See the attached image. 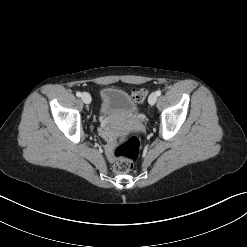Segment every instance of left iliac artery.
Here are the masks:
<instances>
[{
  "instance_id": "44dca946",
  "label": "left iliac artery",
  "mask_w": 247,
  "mask_h": 247,
  "mask_svg": "<svg viewBox=\"0 0 247 247\" xmlns=\"http://www.w3.org/2000/svg\"><path fill=\"white\" fill-rule=\"evenodd\" d=\"M156 95H157V96H160V95H161V90H157V91H156Z\"/></svg>"
}]
</instances>
